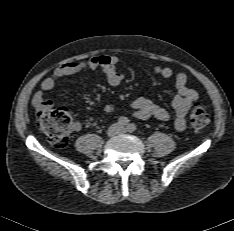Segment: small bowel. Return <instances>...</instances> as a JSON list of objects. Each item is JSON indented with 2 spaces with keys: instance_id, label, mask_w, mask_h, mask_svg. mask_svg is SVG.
I'll return each instance as SVG.
<instances>
[{
  "instance_id": "c3829d8e",
  "label": "small bowel",
  "mask_w": 234,
  "mask_h": 231,
  "mask_svg": "<svg viewBox=\"0 0 234 231\" xmlns=\"http://www.w3.org/2000/svg\"><path fill=\"white\" fill-rule=\"evenodd\" d=\"M119 59L114 55H99L90 57L83 61L68 62L59 66L52 75L46 77L32 98V104L36 110H49L53 107L54 102L48 93L54 88L57 81L63 77L74 75L85 70L100 69L103 72V80L111 85L118 86L125 79V74L117 69ZM152 72L163 78H171L173 71L169 67L153 66ZM174 86L176 95L174 96L171 106L175 112L173 121L174 128L177 131H183L186 128V116L191 106L198 100V92L188 86V80L185 73H178L175 77ZM133 116L139 120H148L156 118L161 121H169V112L155 104L148 98L138 97L131 102ZM116 107L108 104L104 107V112L107 115H112L116 112ZM81 128L79 123H75L72 127L77 131Z\"/></svg>"
}]
</instances>
